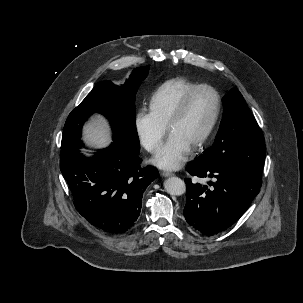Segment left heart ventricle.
<instances>
[{"mask_svg":"<svg viewBox=\"0 0 303 303\" xmlns=\"http://www.w3.org/2000/svg\"><path fill=\"white\" fill-rule=\"evenodd\" d=\"M216 99L207 89L198 91L192 98L184 116L173 125L171 133H177L191 146L207 129L215 111Z\"/></svg>","mask_w":303,"mask_h":303,"instance_id":"1","label":"left heart ventricle"}]
</instances>
